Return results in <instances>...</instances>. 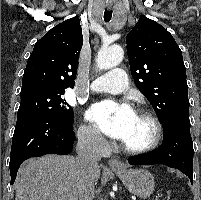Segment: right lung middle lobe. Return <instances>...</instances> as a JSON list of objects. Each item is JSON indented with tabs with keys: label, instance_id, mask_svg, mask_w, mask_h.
Instances as JSON below:
<instances>
[{
	"label": "right lung middle lobe",
	"instance_id": "dd1d6c3e",
	"mask_svg": "<svg viewBox=\"0 0 201 200\" xmlns=\"http://www.w3.org/2000/svg\"><path fill=\"white\" fill-rule=\"evenodd\" d=\"M64 91L34 90L20 93L21 103L17 119L29 115H50L62 121L73 122V110L61 96Z\"/></svg>",
	"mask_w": 201,
	"mask_h": 200
}]
</instances>
